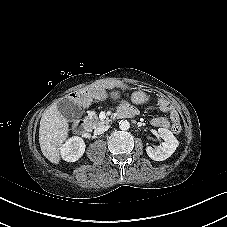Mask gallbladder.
<instances>
[{"label": "gallbladder", "instance_id": "gallbladder-1", "mask_svg": "<svg viewBox=\"0 0 227 227\" xmlns=\"http://www.w3.org/2000/svg\"><path fill=\"white\" fill-rule=\"evenodd\" d=\"M59 112L68 120H74L81 116V107L73 101L64 98L57 104Z\"/></svg>", "mask_w": 227, "mask_h": 227}]
</instances>
